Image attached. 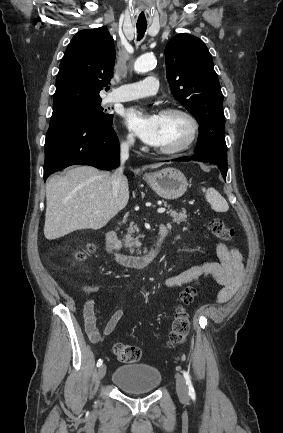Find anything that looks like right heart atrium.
I'll use <instances>...</instances> for the list:
<instances>
[{
  "label": "right heart atrium",
  "mask_w": 283,
  "mask_h": 433,
  "mask_svg": "<svg viewBox=\"0 0 283 433\" xmlns=\"http://www.w3.org/2000/svg\"><path fill=\"white\" fill-rule=\"evenodd\" d=\"M121 143L125 147H129L133 143V137L128 134L124 139L121 140Z\"/></svg>",
  "instance_id": "obj_1"
}]
</instances>
